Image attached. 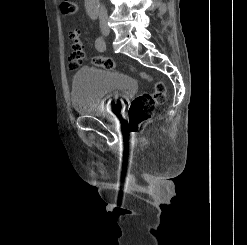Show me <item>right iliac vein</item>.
<instances>
[{"mask_svg":"<svg viewBox=\"0 0 247 245\" xmlns=\"http://www.w3.org/2000/svg\"><path fill=\"white\" fill-rule=\"evenodd\" d=\"M110 33V30L107 27L102 28V34L107 36Z\"/></svg>","mask_w":247,"mask_h":245,"instance_id":"obj_1","label":"right iliac vein"}]
</instances>
